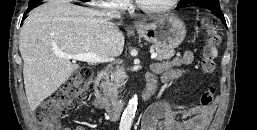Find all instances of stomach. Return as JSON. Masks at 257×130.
<instances>
[{
	"label": "stomach",
	"mask_w": 257,
	"mask_h": 130,
	"mask_svg": "<svg viewBox=\"0 0 257 130\" xmlns=\"http://www.w3.org/2000/svg\"><path fill=\"white\" fill-rule=\"evenodd\" d=\"M136 30L146 41L169 49L179 46L186 36L184 22L173 14L157 18L151 23H143Z\"/></svg>",
	"instance_id": "1"
}]
</instances>
